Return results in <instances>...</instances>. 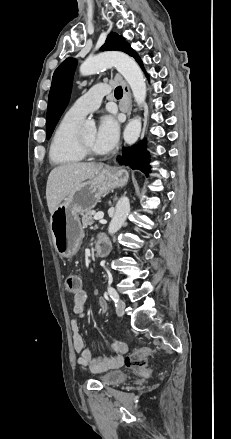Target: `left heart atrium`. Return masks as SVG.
<instances>
[{"instance_id":"obj_1","label":"left heart atrium","mask_w":231,"mask_h":439,"mask_svg":"<svg viewBox=\"0 0 231 439\" xmlns=\"http://www.w3.org/2000/svg\"><path fill=\"white\" fill-rule=\"evenodd\" d=\"M119 125L112 115H104L100 118L95 134V144L101 153L111 151L118 140Z\"/></svg>"}]
</instances>
